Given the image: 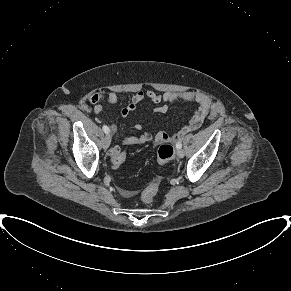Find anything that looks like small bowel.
I'll return each instance as SVG.
<instances>
[{
	"instance_id": "obj_1",
	"label": "small bowel",
	"mask_w": 291,
	"mask_h": 291,
	"mask_svg": "<svg viewBox=\"0 0 291 291\" xmlns=\"http://www.w3.org/2000/svg\"><path fill=\"white\" fill-rule=\"evenodd\" d=\"M144 99L150 100L152 103L156 104L154 108L155 113L164 114L168 111L169 105L177 100H182L186 102H193L198 105V109L194 113L193 117L189 120V122L183 126L175 135H169L165 132H159L154 138L147 132H143L139 136H131L122 140L123 145H135L142 144L145 142H153L155 144L161 143H175L180 140L185 134L188 132L194 131L198 129L204 122L209 108H210V100L209 98L197 91H185V92H165V93H157L153 90L147 91H138L136 92L130 102L125 106L121 111V118L125 119L130 116L137 108L138 104L141 103ZM102 100V96L99 94H93L89 97V101L93 104H96L94 107L95 113H100L102 111V106L98 103ZM109 100L112 103H116L118 101V96L115 93H111L109 95ZM135 129L138 131H142V126L140 124L135 125ZM111 130L113 133L117 132L116 126H111ZM118 146H114L112 150H119ZM110 151V152H111ZM121 194L124 197H130L134 194L133 191L127 189H121Z\"/></svg>"
}]
</instances>
